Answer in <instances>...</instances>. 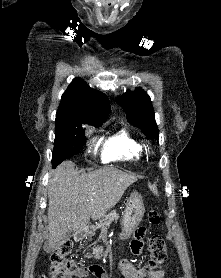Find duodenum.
I'll use <instances>...</instances> for the list:
<instances>
[{
  "instance_id": "obj_1",
  "label": "duodenum",
  "mask_w": 221,
  "mask_h": 278,
  "mask_svg": "<svg viewBox=\"0 0 221 278\" xmlns=\"http://www.w3.org/2000/svg\"><path fill=\"white\" fill-rule=\"evenodd\" d=\"M85 234H86L85 230L78 231L75 234V239L77 241H80V240H82L85 237ZM105 253H106V251H105L104 248H97L96 251H95V256L96 257H102L103 255H105Z\"/></svg>"
}]
</instances>
